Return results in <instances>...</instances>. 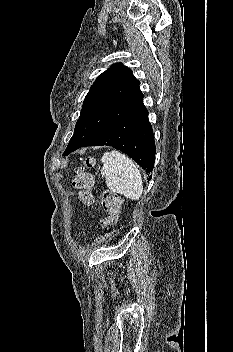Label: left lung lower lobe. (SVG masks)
Wrapping results in <instances>:
<instances>
[{
	"instance_id": "obj_1",
	"label": "left lung lower lobe",
	"mask_w": 233,
	"mask_h": 352,
	"mask_svg": "<svg viewBox=\"0 0 233 352\" xmlns=\"http://www.w3.org/2000/svg\"><path fill=\"white\" fill-rule=\"evenodd\" d=\"M104 145L124 152L147 172L152 171L156 150L153 129L144 104L123 116L103 134L84 146ZM63 155H68V153H63Z\"/></svg>"
}]
</instances>
